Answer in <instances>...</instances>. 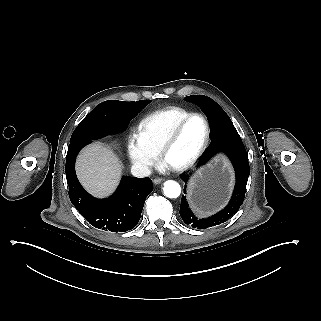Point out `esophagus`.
Listing matches in <instances>:
<instances>
[{
	"label": "esophagus",
	"instance_id": "1",
	"mask_svg": "<svg viewBox=\"0 0 321 321\" xmlns=\"http://www.w3.org/2000/svg\"><path fill=\"white\" fill-rule=\"evenodd\" d=\"M164 181V179H162V178H156V179H154V183L155 184H160V183H162Z\"/></svg>",
	"mask_w": 321,
	"mask_h": 321
}]
</instances>
